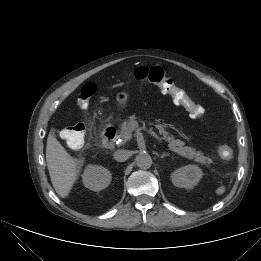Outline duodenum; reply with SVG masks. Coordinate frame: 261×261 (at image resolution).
Segmentation results:
<instances>
[{
	"mask_svg": "<svg viewBox=\"0 0 261 261\" xmlns=\"http://www.w3.org/2000/svg\"><path fill=\"white\" fill-rule=\"evenodd\" d=\"M117 132L116 129L112 126L106 127L101 135L102 145L107 148H111L115 144Z\"/></svg>",
	"mask_w": 261,
	"mask_h": 261,
	"instance_id": "duodenum-1",
	"label": "duodenum"
}]
</instances>
